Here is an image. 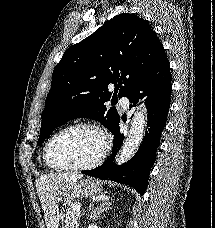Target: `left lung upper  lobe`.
<instances>
[{
  "instance_id": "1",
  "label": "left lung upper lobe",
  "mask_w": 215,
  "mask_h": 228,
  "mask_svg": "<svg viewBox=\"0 0 215 228\" xmlns=\"http://www.w3.org/2000/svg\"><path fill=\"white\" fill-rule=\"evenodd\" d=\"M162 44L148 22L134 14L113 17L96 32L67 49L52 74L42 112L38 145L59 126L75 119L101 122L110 132L119 124L106 102L127 97L152 66Z\"/></svg>"
}]
</instances>
